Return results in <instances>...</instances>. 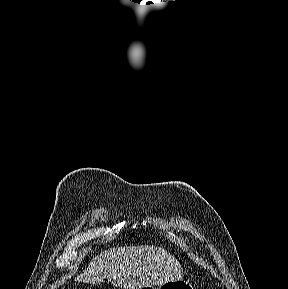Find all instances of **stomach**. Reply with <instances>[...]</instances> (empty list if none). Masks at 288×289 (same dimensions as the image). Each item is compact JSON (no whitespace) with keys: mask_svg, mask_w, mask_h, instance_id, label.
Listing matches in <instances>:
<instances>
[{"mask_svg":"<svg viewBox=\"0 0 288 289\" xmlns=\"http://www.w3.org/2000/svg\"><path fill=\"white\" fill-rule=\"evenodd\" d=\"M146 289H193L192 285L183 279L167 281L159 284L157 288L152 286L146 287Z\"/></svg>","mask_w":288,"mask_h":289,"instance_id":"obj_1","label":"stomach"}]
</instances>
